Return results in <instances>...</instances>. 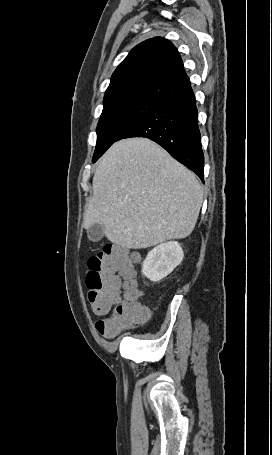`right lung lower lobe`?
I'll list each match as a JSON object with an SVG mask.
<instances>
[{
	"label": "right lung lower lobe",
	"instance_id": "98d812e1",
	"mask_svg": "<svg viewBox=\"0 0 272 455\" xmlns=\"http://www.w3.org/2000/svg\"><path fill=\"white\" fill-rule=\"evenodd\" d=\"M130 137H147L155 141L204 182V155L192 88L164 102L116 141Z\"/></svg>",
	"mask_w": 272,
	"mask_h": 455
}]
</instances>
